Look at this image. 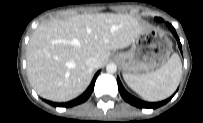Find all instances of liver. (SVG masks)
<instances>
[{"label":"liver","mask_w":203,"mask_h":123,"mask_svg":"<svg viewBox=\"0 0 203 123\" xmlns=\"http://www.w3.org/2000/svg\"><path fill=\"white\" fill-rule=\"evenodd\" d=\"M148 27L129 14H85L40 24L27 46V76L41 97L67 102L91 82L89 57L104 66L111 50L123 49Z\"/></svg>","instance_id":"1"}]
</instances>
